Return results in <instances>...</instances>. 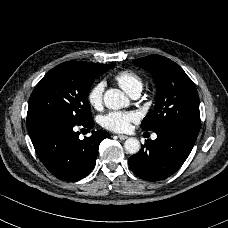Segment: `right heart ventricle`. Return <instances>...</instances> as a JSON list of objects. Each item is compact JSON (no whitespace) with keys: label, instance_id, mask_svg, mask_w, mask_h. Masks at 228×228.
<instances>
[{"label":"right heart ventricle","instance_id":"obj_1","mask_svg":"<svg viewBox=\"0 0 228 228\" xmlns=\"http://www.w3.org/2000/svg\"><path fill=\"white\" fill-rule=\"evenodd\" d=\"M114 80L129 95L141 92L143 89L142 78L132 70H122L114 75Z\"/></svg>","mask_w":228,"mask_h":228}]
</instances>
